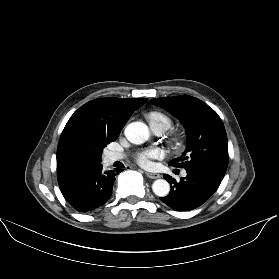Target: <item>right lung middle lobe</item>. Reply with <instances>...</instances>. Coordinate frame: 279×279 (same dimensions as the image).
I'll use <instances>...</instances> for the list:
<instances>
[{"label":"right lung middle lobe","instance_id":"1","mask_svg":"<svg viewBox=\"0 0 279 279\" xmlns=\"http://www.w3.org/2000/svg\"><path fill=\"white\" fill-rule=\"evenodd\" d=\"M116 139H117V137H114V138L98 137L94 140L93 148L100 159H101V155H102L104 147H106L107 144H109L112 141H115Z\"/></svg>","mask_w":279,"mask_h":279}]
</instances>
